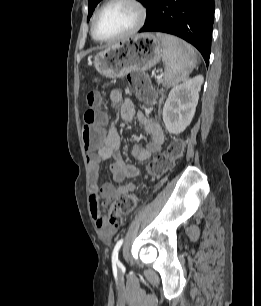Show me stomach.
<instances>
[{"label": "stomach", "instance_id": "0dacf381", "mask_svg": "<svg viewBox=\"0 0 261 306\" xmlns=\"http://www.w3.org/2000/svg\"><path fill=\"white\" fill-rule=\"evenodd\" d=\"M161 57L159 38L147 32L108 46L93 56L92 64L98 73L114 79L135 71L144 72L155 66Z\"/></svg>", "mask_w": 261, "mask_h": 306}]
</instances>
